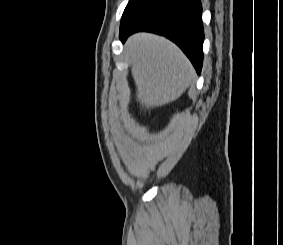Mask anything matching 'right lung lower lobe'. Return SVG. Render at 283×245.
<instances>
[{
  "label": "right lung lower lobe",
  "instance_id": "obj_1",
  "mask_svg": "<svg viewBox=\"0 0 283 245\" xmlns=\"http://www.w3.org/2000/svg\"><path fill=\"white\" fill-rule=\"evenodd\" d=\"M200 0H151L129 20L121 23L120 39L137 31L163 35L175 42L191 60L198 74L203 62Z\"/></svg>",
  "mask_w": 283,
  "mask_h": 245
}]
</instances>
